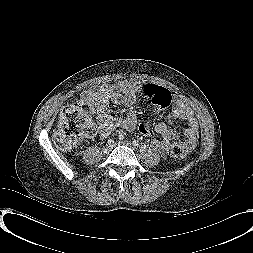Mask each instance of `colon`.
<instances>
[{
  "label": "colon",
  "instance_id": "1",
  "mask_svg": "<svg viewBox=\"0 0 253 253\" xmlns=\"http://www.w3.org/2000/svg\"><path fill=\"white\" fill-rule=\"evenodd\" d=\"M153 90V89H152ZM92 127L88 123L85 113L75 107H67L59 120L54 133L55 144L62 149H72L92 133ZM173 157L184 159L186 151L180 144H174L171 148Z\"/></svg>",
  "mask_w": 253,
  "mask_h": 253
}]
</instances>
